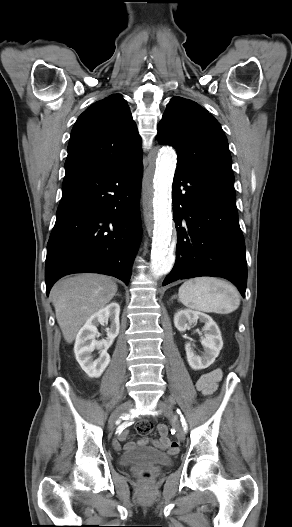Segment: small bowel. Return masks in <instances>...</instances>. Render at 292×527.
Segmentation results:
<instances>
[{
	"label": "small bowel",
	"instance_id": "c3829d8e",
	"mask_svg": "<svg viewBox=\"0 0 292 527\" xmlns=\"http://www.w3.org/2000/svg\"><path fill=\"white\" fill-rule=\"evenodd\" d=\"M221 370L215 369L212 370L203 376L200 377V379L197 382V388L203 395H209L215 391L217 388V384L221 378ZM158 432L160 439L158 440H150L147 437H143L139 440L138 444L141 446H146L149 444H152L153 446L159 447V448H165L170 449L172 451H175L177 449V444L173 441H171L168 438V434L170 433L169 424L167 421H160L158 424ZM128 435V428L125 431H121L117 438L113 442V447L115 450L119 451L122 449V442L126 439ZM135 443L129 442L126 444L125 448L127 450H131L135 447Z\"/></svg>",
	"mask_w": 292,
	"mask_h": 527
}]
</instances>
